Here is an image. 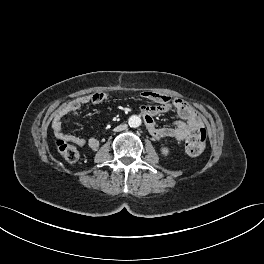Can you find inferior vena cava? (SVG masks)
Listing matches in <instances>:
<instances>
[{"instance_id":"1","label":"inferior vena cava","mask_w":264,"mask_h":264,"mask_svg":"<svg viewBox=\"0 0 264 264\" xmlns=\"http://www.w3.org/2000/svg\"><path fill=\"white\" fill-rule=\"evenodd\" d=\"M129 126L127 124H124V125H120V126H117L114 130L117 132V131H122V130H125L127 129Z\"/></svg>"}]
</instances>
